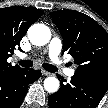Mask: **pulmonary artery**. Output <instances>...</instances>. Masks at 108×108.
I'll return each mask as SVG.
<instances>
[{"label":"pulmonary artery","instance_id":"1","mask_svg":"<svg viewBox=\"0 0 108 108\" xmlns=\"http://www.w3.org/2000/svg\"><path fill=\"white\" fill-rule=\"evenodd\" d=\"M61 48V41L58 38H53L48 46L49 57L58 69L63 70L68 77H72L75 73V70L71 68H66L62 60L59 58Z\"/></svg>","mask_w":108,"mask_h":108}]
</instances>
